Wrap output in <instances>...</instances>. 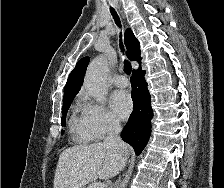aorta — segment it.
<instances>
[{
    "label": "aorta",
    "mask_w": 224,
    "mask_h": 188,
    "mask_svg": "<svg viewBox=\"0 0 224 188\" xmlns=\"http://www.w3.org/2000/svg\"><path fill=\"white\" fill-rule=\"evenodd\" d=\"M108 71V62L104 56L95 58L87 68L84 85L97 102L103 101L106 97Z\"/></svg>",
    "instance_id": "1"
}]
</instances>
